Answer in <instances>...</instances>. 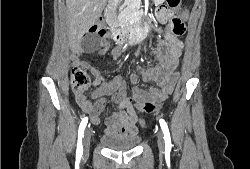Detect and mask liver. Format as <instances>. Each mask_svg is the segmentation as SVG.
Listing matches in <instances>:
<instances>
[{"label": "liver", "mask_w": 250, "mask_h": 169, "mask_svg": "<svg viewBox=\"0 0 250 169\" xmlns=\"http://www.w3.org/2000/svg\"><path fill=\"white\" fill-rule=\"evenodd\" d=\"M106 4L107 0H66L71 50L77 48L83 34L95 24Z\"/></svg>", "instance_id": "6515ba94"}]
</instances>
